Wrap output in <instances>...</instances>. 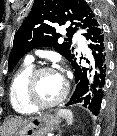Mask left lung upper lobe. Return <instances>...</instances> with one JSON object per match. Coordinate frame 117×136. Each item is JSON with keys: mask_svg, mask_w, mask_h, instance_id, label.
<instances>
[{"mask_svg": "<svg viewBox=\"0 0 117 136\" xmlns=\"http://www.w3.org/2000/svg\"><path fill=\"white\" fill-rule=\"evenodd\" d=\"M67 25L66 42L58 43L61 35L55 27ZM93 10L83 0H34L33 7L14 36L13 48L9 55L8 71H12L22 56L36 47H54L69 62L74 60V47L70 38L78 30L90 31L100 27Z\"/></svg>", "mask_w": 117, "mask_h": 136, "instance_id": "obj_1", "label": "left lung upper lobe"}]
</instances>
